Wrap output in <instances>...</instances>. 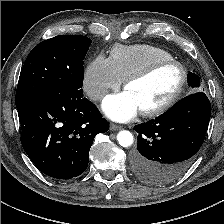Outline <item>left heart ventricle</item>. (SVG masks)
Returning <instances> with one entry per match:
<instances>
[{
  "label": "left heart ventricle",
  "instance_id": "obj_1",
  "mask_svg": "<svg viewBox=\"0 0 224 224\" xmlns=\"http://www.w3.org/2000/svg\"><path fill=\"white\" fill-rule=\"evenodd\" d=\"M179 79V69L175 66H167L147 79L130 84L126 91L135 98L140 111L146 110L167 100L177 87Z\"/></svg>",
  "mask_w": 224,
  "mask_h": 224
}]
</instances>
